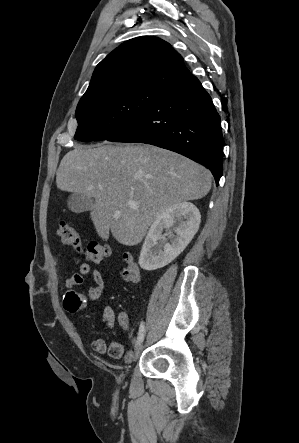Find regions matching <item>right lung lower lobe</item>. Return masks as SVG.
I'll list each match as a JSON object with an SVG mask.
<instances>
[{
	"mask_svg": "<svg viewBox=\"0 0 299 443\" xmlns=\"http://www.w3.org/2000/svg\"><path fill=\"white\" fill-rule=\"evenodd\" d=\"M137 142L180 153L222 176L223 136L211 97L195 76L164 90L136 121L106 139Z\"/></svg>",
	"mask_w": 299,
	"mask_h": 443,
	"instance_id": "obj_1",
	"label": "right lung lower lobe"
}]
</instances>
